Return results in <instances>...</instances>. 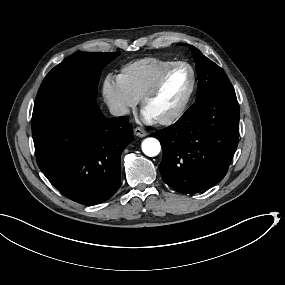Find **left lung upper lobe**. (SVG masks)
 <instances>
[{
  "mask_svg": "<svg viewBox=\"0 0 285 285\" xmlns=\"http://www.w3.org/2000/svg\"><path fill=\"white\" fill-rule=\"evenodd\" d=\"M190 49L196 64L199 79L197 99L194 103L213 96L235 95V91L223 70L195 47L190 46Z\"/></svg>",
  "mask_w": 285,
  "mask_h": 285,
  "instance_id": "1",
  "label": "left lung upper lobe"
}]
</instances>
